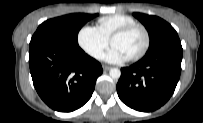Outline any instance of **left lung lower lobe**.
Instances as JSON below:
<instances>
[{
    "label": "left lung lower lobe",
    "mask_w": 203,
    "mask_h": 123,
    "mask_svg": "<svg viewBox=\"0 0 203 123\" xmlns=\"http://www.w3.org/2000/svg\"><path fill=\"white\" fill-rule=\"evenodd\" d=\"M183 49L173 43L147 53L135 64L121 69L117 93L137 111L150 112L164 105L174 93L181 73Z\"/></svg>",
    "instance_id": "obj_1"
}]
</instances>
